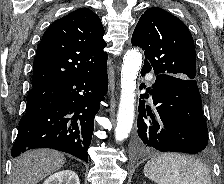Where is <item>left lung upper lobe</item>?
I'll return each mask as SVG.
<instances>
[{"label":"left lung upper lobe","mask_w":224,"mask_h":184,"mask_svg":"<svg viewBox=\"0 0 224 184\" xmlns=\"http://www.w3.org/2000/svg\"><path fill=\"white\" fill-rule=\"evenodd\" d=\"M132 45L144 50L142 69L155 75L182 79L196 78V54L187 26L169 12L152 7L140 17L132 35Z\"/></svg>","instance_id":"obj_1"}]
</instances>
